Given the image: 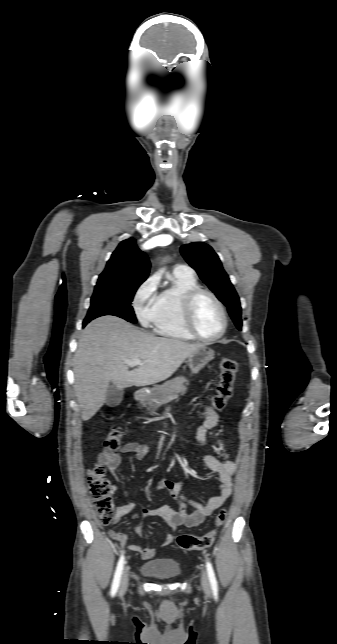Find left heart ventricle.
I'll list each match as a JSON object with an SVG mask.
<instances>
[{
    "instance_id": "b2bd125f",
    "label": "left heart ventricle",
    "mask_w": 337,
    "mask_h": 644,
    "mask_svg": "<svg viewBox=\"0 0 337 644\" xmlns=\"http://www.w3.org/2000/svg\"><path fill=\"white\" fill-rule=\"evenodd\" d=\"M194 324L198 333L205 338L214 337L221 330V312L216 303L207 295L201 296L196 303Z\"/></svg>"
}]
</instances>
